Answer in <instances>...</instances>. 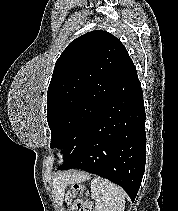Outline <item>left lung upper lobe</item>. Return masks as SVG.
<instances>
[{"label":"left lung upper lobe","mask_w":178,"mask_h":211,"mask_svg":"<svg viewBox=\"0 0 178 211\" xmlns=\"http://www.w3.org/2000/svg\"><path fill=\"white\" fill-rule=\"evenodd\" d=\"M132 62L124 45L107 31L88 32L56 61L47 94L51 148L64 161L100 117L117 81Z\"/></svg>","instance_id":"1"}]
</instances>
